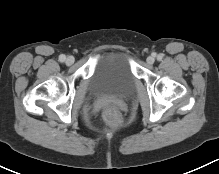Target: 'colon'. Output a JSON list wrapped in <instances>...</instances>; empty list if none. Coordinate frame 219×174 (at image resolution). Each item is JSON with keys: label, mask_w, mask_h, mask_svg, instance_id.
<instances>
[{"label": "colon", "mask_w": 219, "mask_h": 174, "mask_svg": "<svg viewBox=\"0 0 219 174\" xmlns=\"http://www.w3.org/2000/svg\"><path fill=\"white\" fill-rule=\"evenodd\" d=\"M104 119L110 125H117L120 122L121 115L118 108L114 105L108 106L104 110Z\"/></svg>", "instance_id": "obj_1"}]
</instances>
